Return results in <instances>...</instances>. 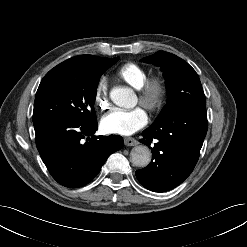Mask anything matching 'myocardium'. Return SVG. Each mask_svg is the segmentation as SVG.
Masks as SVG:
<instances>
[{"mask_svg": "<svg viewBox=\"0 0 247 247\" xmlns=\"http://www.w3.org/2000/svg\"><path fill=\"white\" fill-rule=\"evenodd\" d=\"M166 96L167 83L160 75L147 78L141 88L138 89L140 104L150 112L159 111L165 103Z\"/></svg>", "mask_w": 247, "mask_h": 247, "instance_id": "myocardium-1", "label": "myocardium"}]
</instances>
